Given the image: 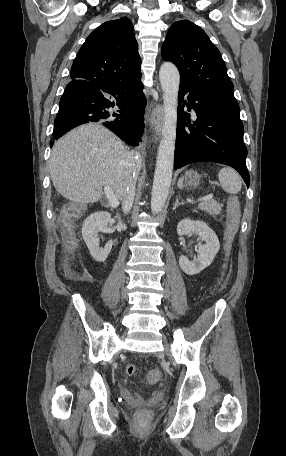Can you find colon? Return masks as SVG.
Returning a JSON list of instances; mask_svg holds the SVG:
<instances>
[{
    "label": "colon",
    "mask_w": 286,
    "mask_h": 456,
    "mask_svg": "<svg viewBox=\"0 0 286 456\" xmlns=\"http://www.w3.org/2000/svg\"><path fill=\"white\" fill-rule=\"evenodd\" d=\"M228 208H229V221L227 225L226 231V239H227V247H229L230 242L233 239L236 226H237V218L239 212V204L236 198L231 197L228 201ZM70 239V238H69ZM74 247L73 242L68 241V248L72 249ZM219 287L223 285V282L220 281L218 283ZM126 374L130 377H133L137 374V367L134 364H128L126 366ZM162 374L161 371L158 369H152L146 375V382L148 384H156L161 380Z\"/></svg>",
    "instance_id": "5ec220e1"
}]
</instances>
